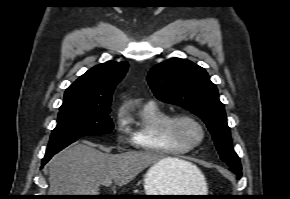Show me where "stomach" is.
<instances>
[{
  "mask_svg": "<svg viewBox=\"0 0 290 199\" xmlns=\"http://www.w3.org/2000/svg\"><path fill=\"white\" fill-rule=\"evenodd\" d=\"M145 195H206L207 185L200 172L189 181L180 175L170 173L162 163L152 165L144 175ZM180 189H183L180 191ZM161 199H195L187 197H162Z\"/></svg>",
  "mask_w": 290,
  "mask_h": 199,
  "instance_id": "stomach-1",
  "label": "stomach"
}]
</instances>
